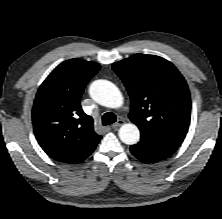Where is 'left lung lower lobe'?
<instances>
[{"label":"left lung lower lobe","instance_id":"1","mask_svg":"<svg viewBox=\"0 0 222 219\" xmlns=\"http://www.w3.org/2000/svg\"><path fill=\"white\" fill-rule=\"evenodd\" d=\"M177 148V146L141 135L140 141L130 146V151L141 162L154 163L166 159L172 155Z\"/></svg>","mask_w":222,"mask_h":219}]
</instances>
